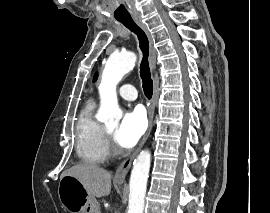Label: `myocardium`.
<instances>
[{
  "mask_svg": "<svg viewBox=\"0 0 270 213\" xmlns=\"http://www.w3.org/2000/svg\"><path fill=\"white\" fill-rule=\"evenodd\" d=\"M105 134H106V138H107V141H108L109 150L110 149H115V146H114L113 141H112L111 132L105 129Z\"/></svg>",
  "mask_w": 270,
  "mask_h": 213,
  "instance_id": "f54148a6",
  "label": "myocardium"
}]
</instances>
